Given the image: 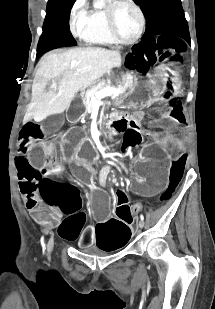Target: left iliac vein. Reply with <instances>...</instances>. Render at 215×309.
<instances>
[{"label": "left iliac vein", "mask_w": 215, "mask_h": 309, "mask_svg": "<svg viewBox=\"0 0 215 309\" xmlns=\"http://www.w3.org/2000/svg\"><path fill=\"white\" fill-rule=\"evenodd\" d=\"M138 226H139V228L142 229L144 227V221L143 220H139Z\"/></svg>", "instance_id": "left-iliac-vein-1"}]
</instances>
